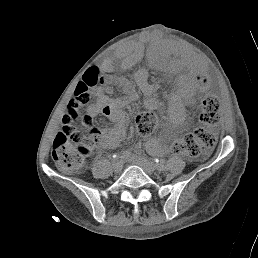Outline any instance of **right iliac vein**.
Instances as JSON below:
<instances>
[{
	"label": "right iliac vein",
	"mask_w": 258,
	"mask_h": 258,
	"mask_svg": "<svg viewBox=\"0 0 258 258\" xmlns=\"http://www.w3.org/2000/svg\"><path fill=\"white\" fill-rule=\"evenodd\" d=\"M123 168V161L121 160H115L113 163V170L115 172H120Z\"/></svg>",
	"instance_id": "obj_1"
}]
</instances>
